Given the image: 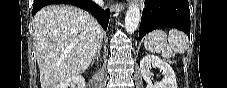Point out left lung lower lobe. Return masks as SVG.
<instances>
[{"label":"left lung lower lobe","mask_w":227,"mask_h":88,"mask_svg":"<svg viewBox=\"0 0 227 88\" xmlns=\"http://www.w3.org/2000/svg\"><path fill=\"white\" fill-rule=\"evenodd\" d=\"M177 28L190 37L188 0H146L139 28V39L152 30Z\"/></svg>","instance_id":"obj_1"}]
</instances>
